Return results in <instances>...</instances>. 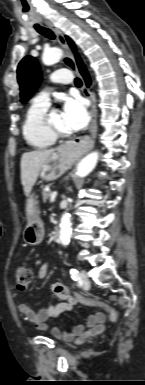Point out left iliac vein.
<instances>
[{
	"instance_id": "obj_1",
	"label": "left iliac vein",
	"mask_w": 145,
	"mask_h": 385,
	"mask_svg": "<svg viewBox=\"0 0 145 385\" xmlns=\"http://www.w3.org/2000/svg\"><path fill=\"white\" fill-rule=\"evenodd\" d=\"M81 282L84 286L90 285V281L88 279V275H87V272L85 270L81 271Z\"/></svg>"
}]
</instances>
